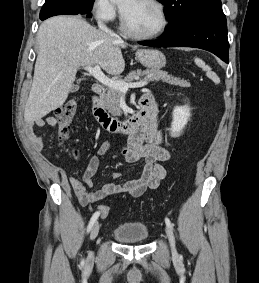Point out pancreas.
I'll use <instances>...</instances> for the list:
<instances>
[{
  "label": "pancreas",
  "instance_id": "1",
  "mask_svg": "<svg viewBox=\"0 0 259 283\" xmlns=\"http://www.w3.org/2000/svg\"><path fill=\"white\" fill-rule=\"evenodd\" d=\"M144 75L147 76V80L149 81L162 80L163 82L179 87L189 86V83L184 79L173 77L165 71L153 70V69L150 70L147 69L144 71L141 70L132 71L122 81L126 83H132L136 78ZM121 97H122L121 91L109 87L107 89V93L101 97L102 105L108 110V112L112 116H121L123 114V111L121 110L120 107Z\"/></svg>",
  "mask_w": 259,
  "mask_h": 283
}]
</instances>
